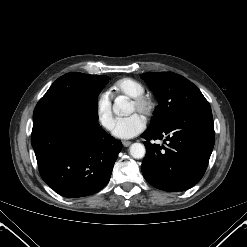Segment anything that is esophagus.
<instances>
[{
	"label": "esophagus",
	"instance_id": "34e87169",
	"mask_svg": "<svg viewBox=\"0 0 247 247\" xmlns=\"http://www.w3.org/2000/svg\"><path fill=\"white\" fill-rule=\"evenodd\" d=\"M122 144L125 146V147H128L131 145V141H123Z\"/></svg>",
	"mask_w": 247,
	"mask_h": 247
}]
</instances>
